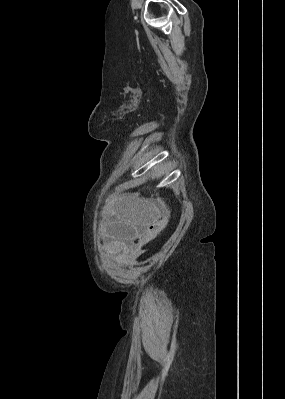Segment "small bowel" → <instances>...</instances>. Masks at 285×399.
Wrapping results in <instances>:
<instances>
[{"label":"small bowel","mask_w":285,"mask_h":399,"mask_svg":"<svg viewBox=\"0 0 285 399\" xmlns=\"http://www.w3.org/2000/svg\"><path fill=\"white\" fill-rule=\"evenodd\" d=\"M132 222L140 229L137 232V238L139 240L146 239L152 235L156 217L151 212L150 202L140 201L138 203V210L133 215Z\"/></svg>","instance_id":"obj_1"}]
</instances>
